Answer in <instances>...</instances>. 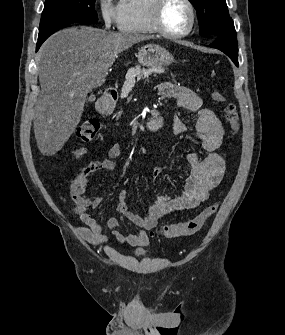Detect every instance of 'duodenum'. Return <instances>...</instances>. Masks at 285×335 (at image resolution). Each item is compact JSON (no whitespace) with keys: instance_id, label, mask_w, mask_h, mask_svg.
<instances>
[{"instance_id":"obj_1","label":"duodenum","mask_w":285,"mask_h":335,"mask_svg":"<svg viewBox=\"0 0 285 335\" xmlns=\"http://www.w3.org/2000/svg\"><path fill=\"white\" fill-rule=\"evenodd\" d=\"M117 98V92L115 90H108L104 97L99 102V109L101 112H107L110 110L112 104ZM164 123V116L158 113H154L147 121L146 127H160Z\"/></svg>"}]
</instances>
